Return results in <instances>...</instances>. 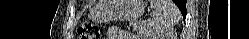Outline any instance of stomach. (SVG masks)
Segmentation results:
<instances>
[{
    "instance_id": "0dacf381",
    "label": "stomach",
    "mask_w": 249,
    "mask_h": 39,
    "mask_svg": "<svg viewBox=\"0 0 249 39\" xmlns=\"http://www.w3.org/2000/svg\"><path fill=\"white\" fill-rule=\"evenodd\" d=\"M142 0H99L90 10L89 19L93 22L111 20L134 21L144 13Z\"/></svg>"
}]
</instances>
